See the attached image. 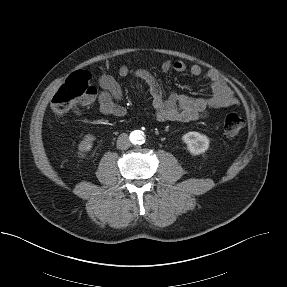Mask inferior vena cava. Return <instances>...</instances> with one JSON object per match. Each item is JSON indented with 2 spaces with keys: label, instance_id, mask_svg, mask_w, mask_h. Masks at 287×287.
<instances>
[{
  "label": "inferior vena cava",
  "instance_id": "1",
  "mask_svg": "<svg viewBox=\"0 0 287 287\" xmlns=\"http://www.w3.org/2000/svg\"><path fill=\"white\" fill-rule=\"evenodd\" d=\"M130 147V140L128 138V135L123 133L119 135L117 139V148L121 150H126Z\"/></svg>",
  "mask_w": 287,
  "mask_h": 287
}]
</instances>
